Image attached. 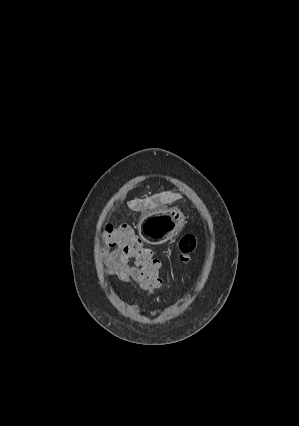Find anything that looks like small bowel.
<instances>
[{"label": "small bowel", "mask_w": 299, "mask_h": 426, "mask_svg": "<svg viewBox=\"0 0 299 426\" xmlns=\"http://www.w3.org/2000/svg\"><path fill=\"white\" fill-rule=\"evenodd\" d=\"M105 272L108 276L117 277L124 283L139 287L141 271L121 249H114L106 256Z\"/></svg>", "instance_id": "obj_1"}]
</instances>
